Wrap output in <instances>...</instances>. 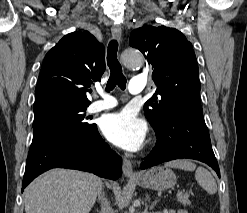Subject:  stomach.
<instances>
[{
    "mask_svg": "<svg viewBox=\"0 0 247 213\" xmlns=\"http://www.w3.org/2000/svg\"><path fill=\"white\" fill-rule=\"evenodd\" d=\"M135 182L144 188L166 190L176 184V176L169 168L158 166L142 173Z\"/></svg>",
    "mask_w": 247,
    "mask_h": 213,
    "instance_id": "obj_1",
    "label": "stomach"
}]
</instances>
